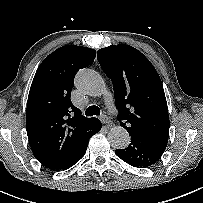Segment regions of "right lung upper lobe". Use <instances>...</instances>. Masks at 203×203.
<instances>
[{
  "label": "right lung upper lobe",
  "mask_w": 203,
  "mask_h": 203,
  "mask_svg": "<svg viewBox=\"0 0 203 203\" xmlns=\"http://www.w3.org/2000/svg\"><path fill=\"white\" fill-rule=\"evenodd\" d=\"M96 51L63 46L40 64L28 96L26 129L35 158L50 170H62L91 134L97 118H85L70 95L79 69L89 66Z\"/></svg>",
  "instance_id": "1"
}]
</instances>
